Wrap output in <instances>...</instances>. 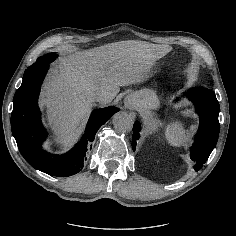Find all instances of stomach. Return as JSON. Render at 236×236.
I'll list each match as a JSON object with an SVG mask.
<instances>
[{
	"mask_svg": "<svg viewBox=\"0 0 236 236\" xmlns=\"http://www.w3.org/2000/svg\"><path fill=\"white\" fill-rule=\"evenodd\" d=\"M138 95L141 106L145 108H157L159 106L158 99L154 91L150 89H143L138 93Z\"/></svg>",
	"mask_w": 236,
	"mask_h": 236,
	"instance_id": "1",
	"label": "stomach"
}]
</instances>
